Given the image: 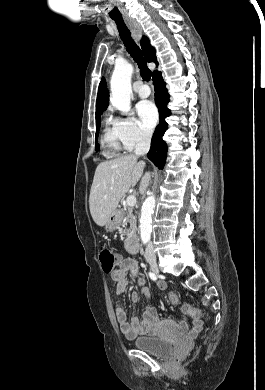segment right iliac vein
<instances>
[{
    "mask_svg": "<svg viewBox=\"0 0 265 390\" xmlns=\"http://www.w3.org/2000/svg\"><path fill=\"white\" fill-rule=\"evenodd\" d=\"M146 260L149 263L151 270L156 274L159 273V267L157 264L156 257L155 256H147Z\"/></svg>",
    "mask_w": 265,
    "mask_h": 390,
    "instance_id": "1",
    "label": "right iliac vein"
}]
</instances>
